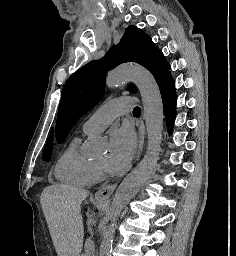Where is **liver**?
<instances>
[{
  "mask_svg": "<svg viewBox=\"0 0 236 256\" xmlns=\"http://www.w3.org/2000/svg\"><path fill=\"white\" fill-rule=\"evenodd\" d=\"M89 192L54 184L41 194V206L58 256H79L83 248L84 226L81 204Z\"/></svg>",
  "mask_w": 236,
  "mask_h": 256,
  "instance_id": "obj_1",
  "label": "liver"
}]
</instances>
